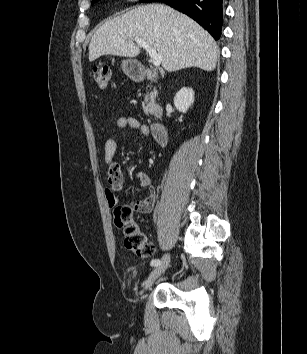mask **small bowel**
Returning a JSON list of instances; mask_svg holds the SVG:
<instances>
[{
	"instance_id": "1",
	"label": "small bowel",
	"mask_w": 307,
	"mask_h": 354,
	"mask_svg": "<svg viewBox=\"0 0 307 354\" xmlns=\"http://www.w3.org/2000/svg\"><path fill=\"white\" fill-rule=\"evenodd\" d=\"M119 129L131 128L138 130L143 137H147L150 133L149 127L139 122L133 117H120L116 121ZM117 143L114 138L109 137L104 142V163L107 167V186L105 187V198L110 207H114L118 200L116 192L123 187V174L120 166L114 161ZM137 179L144 188H148L147 196L135 203L131 204L133 210L139 213H149L152 211L156 202V190L151 186L150 178L146 173H138Z\"/></svg>"
}]
</instances>
